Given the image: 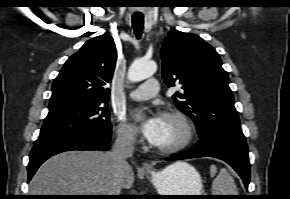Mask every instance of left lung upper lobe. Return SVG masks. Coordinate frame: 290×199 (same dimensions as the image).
Returning <instances> with one entry per match:
<instances>
[{
    "label": "left lung upper lobe",
    "instance_id": "left-lung-upper-lobe-1",
    "mask_svg": "<svg viewBox=\"0 0 290 199\" xmlns=\"http://www.w3.org/2000/svg\"><path fill=\"white\" fill-rule=\"evenodd\" d=\"M162 76L168 87L181 84L175 105L196 124L197 131L218 126L240 129L229 78L216 50L195 34L168 33L161 50Z\"/></svg>",
    "mask_w": 290,
    "mask_h": 199
}]
</instances>
